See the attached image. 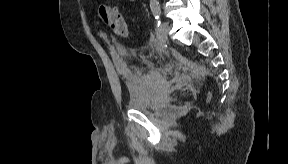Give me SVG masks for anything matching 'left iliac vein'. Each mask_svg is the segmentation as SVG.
I'll list each match as a JSON object with an SVG mask.
<instances>
[{
	"label": "left iliac vein",
	"mask_w": 288,
	"mask_h": 164,
	"mask_svg": "<svg viewBox=\"0 0 288 164\" xmlns=\"http://www.w3.org/2000/svg\"><path fill=\"white\" fill-rule=\"evenodd\" d=\"M169 29V24L165 21H163L157 28V38L160 43H164L166 41Z\"/></svg>",
	"instance_id": "left-iliac-vein-1"
}]
</instances>
